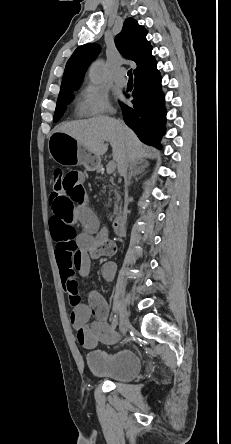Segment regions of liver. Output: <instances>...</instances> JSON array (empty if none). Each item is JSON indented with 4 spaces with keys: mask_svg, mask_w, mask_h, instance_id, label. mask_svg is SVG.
Masks as SVG:
<instances>
[{
    "mask_svg": "<svg viewBox=\"0 0 231 444\" xmlns=\"http://www.w3.org/2000/svg\"><path fill=\"white\" fill-rule=\"evenodd\" d=\"M54 132H64L94 155L100 157L112 147L113 160L118 168L125 160L136 163L145 157L154 158L158 152L145 146L134 132L121 121L109 117H96L88 120L65 122Z\"/></svg>",
    "mask_w": 231,
    "mask_h": 444,
    "instance_id": "1",
    "label": "liver"
}]
</instances>
